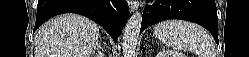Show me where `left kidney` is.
I'll use <instances>...</instances> for the list:
<instances>
[{"mask_svg": "<svg viewBox=\"0 0 249 57\" xmlns=\"http://www.w3.org/2000/svg\"><path fill=\"white\" fill-rule=\"evenodd\" d=\"M156 57H185V55L179 51L163 50V51H159Z\"/></svg>", "mask_w": 249, "mask_h": 57, "instance_id": "5707ae66", "label": "left kidney"}]
</instances>
